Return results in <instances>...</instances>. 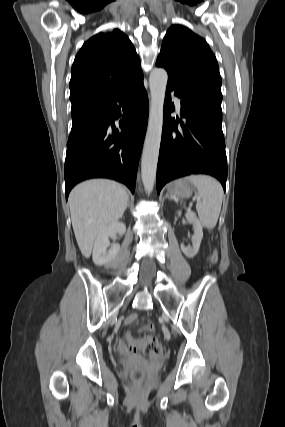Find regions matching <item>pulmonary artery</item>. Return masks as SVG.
Instances as JSON below:
<instances>
[{
	"label": "pulmonary artery",
	"mask_w": 285,
	"mask_h": 427,
	"mask_svg": "<svg viewBox=\"0 0 285 427\" xmlns=\"http://www.w3.org/2000/svg\"><path fill=\"white\" fill-rule=\"evenodd\" d=\"M174 102H175V106L178 110L181 109V103H180V99L177 96H174Z\"/></svg>",
	"instance_id": "1"
}]
</instances>
